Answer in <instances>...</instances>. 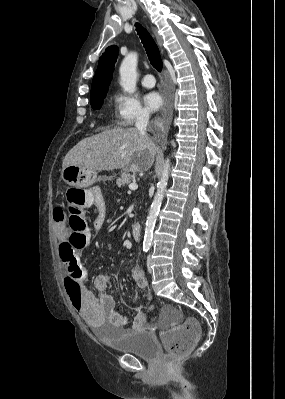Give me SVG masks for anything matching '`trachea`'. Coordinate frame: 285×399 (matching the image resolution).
Instances as JSON below:
<instances>
[{
  "instance_id": "trachea-1",
  "label": "trachea",
  "mask_w": 285,
  "mask_h": 399,
  "mask_svg": "<svg viewBox=\"0 0 285 399\" xmlns=\"http://www.w3.org/2000/svg\"><path fill=\"white\" fill-rule=\"evenodd\" d=\"M136 31L141 39V42L143 43L150 63L157 71L161 72L163 64L160 57L159 49L154 39L149 34V32L139 23H136Z\"/></svg>"
}]
</instances>
